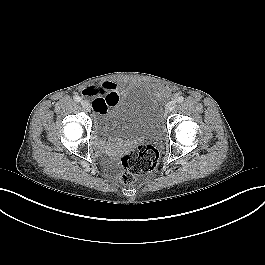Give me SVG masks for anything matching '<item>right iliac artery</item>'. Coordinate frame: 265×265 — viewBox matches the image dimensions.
<instances>
[{"label": "right iliac artery", "instance_id": "82829eb1", "mask_svg": "<svg viewBox=\"0 0 265 265\" xmlns=\"http://www.w3.org/2000/svg\"><path fill=\"white\" fill-rule=\"evenodd\" d=\"M74 101L80 102L81 101V97L78 96V95L74 96Z\"/></svg>", "mask_w": 265, "mask_h": 265}]
</instances>
